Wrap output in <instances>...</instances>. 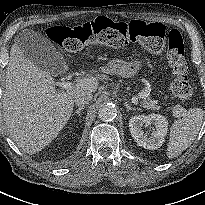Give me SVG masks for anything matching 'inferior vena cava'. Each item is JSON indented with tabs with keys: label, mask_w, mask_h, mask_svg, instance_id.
<instances>
[{
	"label": "inferior vena cava",
	"mask_w": 205,
	"mask_h": 205,
	"mask_svg": "<svg viewBox=\"0 0 205 205\" xmlns=\"http://www.w3.org/2000/svg\"><path fill=\"white\" fill-rule=\"evenodd\" d=\"M93 95L91 92H81L79 93L76 97H75V103L77 105H85L87 104L91 99H92Z\"/></svg>",
	"instance_id": "1"
}]
</instances>
